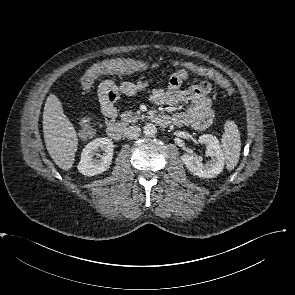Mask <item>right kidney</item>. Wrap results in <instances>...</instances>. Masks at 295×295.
I'll list each match as a JSON object with an SVG mask.
<instances>
[{
	"instance_id": "1",
	"label": "right kidney",
	"mask_w": 295,
	"mask_h": 295,
	"mask_svg": "<svg viewBox=\"0 0 295 295\" xmlns=\"http://www.w3.org/2000/svg\"><path fill=\"white\" fill-rule=\"evenodd\" d=\"M113 142L107 138H96L85 146L77 166L80 173L85 176H95L109 169L113 158ZM102 150L104 154L100 159L93 160L94 153Z\"/></svg>"
}]
</instances>
